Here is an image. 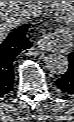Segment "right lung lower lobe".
Returning <instances> with one entry per match:
<instances>
[{"label":"right lung lower lobe","instance_id":"98d812e1","mask_svg":"<svg viewBox=\"0 0 74 122\" xmlns=\"http://www.w3.org/2000/svg\"><path fill=\"white\" fill-rule=\"evenodd\" d=\"M29 25L14 29L3 42H0V98L7 95L13 87V62L18 54L32 45L26 37Z\"/></svg>","mask_w":74,"mask_h":122}]
</instances>
